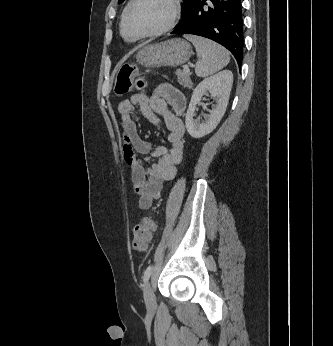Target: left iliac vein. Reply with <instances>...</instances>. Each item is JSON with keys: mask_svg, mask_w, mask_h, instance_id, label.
Segmentation results:
<instances>
[{"mask_svg": "<svg viewBox=\"0 0 333 346\" xmlns=\"http://www.w3.org/2000/svg\"><path fill=\"white\" fill-rule=\"evenodd\" d=\"M144 300L148 312L152 313L156 309V297L150 283H147L144 288Z\"/></svg>", "mask_w": 333, "mask_h": 346, "instance_id": "4c4485c4", "label": "left iliac vein"}]
</instances>
